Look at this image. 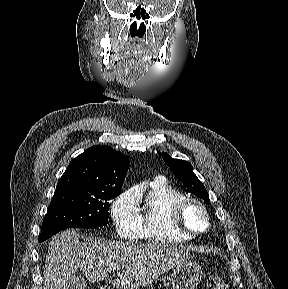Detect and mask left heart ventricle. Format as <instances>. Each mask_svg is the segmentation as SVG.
Here are the masks:
<instances>
[{
  "mask_svg": "<svg viewBox=\"0 0 288 289\" xmlns=\"http://www.w3.org/2000/svg\"><path fill=\"white\" fill-rule=\"evenodd\" d=\"M182 218L186 227L193 232L201 231L206 227L204 214L194 205H189L186 207Z\"/></svg>",
  "mask_w": 288,
  "mask_h": 289,
  "instance_id": "left-heart-ventricle-1",
  "label": "left heart ventricle"
}]
</instances>
